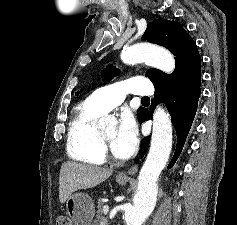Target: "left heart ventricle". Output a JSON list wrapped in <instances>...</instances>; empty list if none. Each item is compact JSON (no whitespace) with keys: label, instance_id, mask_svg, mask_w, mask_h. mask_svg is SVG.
<instances>
[{"label":"left heart ventricle","instance_id":"left-heart-ventricle-1","mask_svg":"<svg viewBox=\"0 0 237 225\" xmlns=\"http://www.w3.org/2000/svg\"><path fill=\"white\" fill-rule=\"evenodd\" d=\"M116 127L113 126V127H108L106 129H103L102 132L105 136V138L107 139L110 147H111V150L113 152V154L118 157L113 149V141H114V138H115V135H116Z\"/></svg>","mask_w":237,"mask_h":225}]
</instances>
